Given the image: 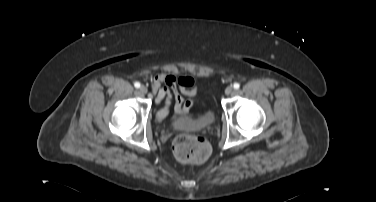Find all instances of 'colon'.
I'll use <instances>...</instances> for the list:
<instances>
[{
	"label": "colon",
	"instance_id": "1",
	"mask_svg": "<svg viewBox=\"0 0 376 202\" xmlns=\"http://www.w3.org/2000/svg\"><path fill=\"white\" fill-rule=\"evenodd\" d=\"M173 153L182 163H201L209 157L210 146L200 136L181 134L173 141Z\"/></svg>",
	"mask_w": 376,
	"mask_h": 202
}]
</instances>
